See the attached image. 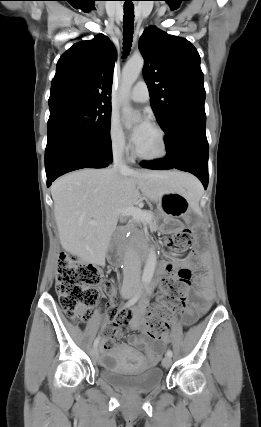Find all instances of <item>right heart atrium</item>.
Wrapping results in <instances>:
<instances>
[{
  "mask_svg": "<svg viewBox=\"0 0 261 427\" xmlns=\"http://www.w3.org/2000/svg\"><path fill=\"white\" fill-rule=\"evenodd\" d=\"M108 139L111 150L118 155H125L129 151L126 135L118 120L112 117L108 127Z\"/></svg>",
  "mask_w": 261,
  "mask_h": 427,
  "instance_id": "d8ad5b80",
  "label": "right heart atrium"
}]
</instances>
